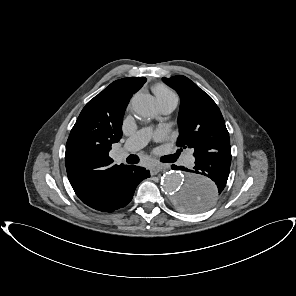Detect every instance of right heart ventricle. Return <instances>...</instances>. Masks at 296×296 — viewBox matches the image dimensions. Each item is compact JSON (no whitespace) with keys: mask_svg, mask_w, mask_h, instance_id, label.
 <instances>
[{"mask_svg":"<svg viewBox=\"0 0 296 296\" xmlns=\"http://www.w3.org/2000/svg\"><path fill=\"white\" fill-rule=\"evenodd\" d=\"M153 91L158 101L172 96H176L175 93L164 84H157L156 86H154Z\"/></svg>","mask_w":296,"mask_h":296,"instance_id":"1","label":"right heart ventricle"}]
</instances>
